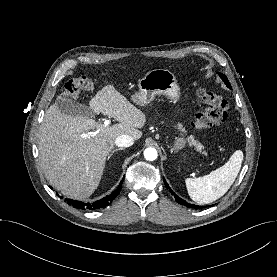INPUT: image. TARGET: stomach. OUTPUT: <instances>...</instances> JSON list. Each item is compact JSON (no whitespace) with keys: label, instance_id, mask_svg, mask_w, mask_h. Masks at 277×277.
Wrapping results in <instances>:
<instances>
[{"label":"stomach","instance_id":"stomach-1","mask_svg":"<svg viewBox=\"0 0 277 277\" xmlns=\"http://www.w3.org/2000/svg\"><path fill=\"white\" fill-rule=\"evenodd\" d=\"M157 95H164L167 98L177 101L180 97V89L177 80L172 72L167 69H155L149 71L139 80V91L132 95L131 99L139 106L152 102ZM185 140H176L174 149H182Z\"/></svg>","mask_w":277,"mask_h":277}]
</instances>
